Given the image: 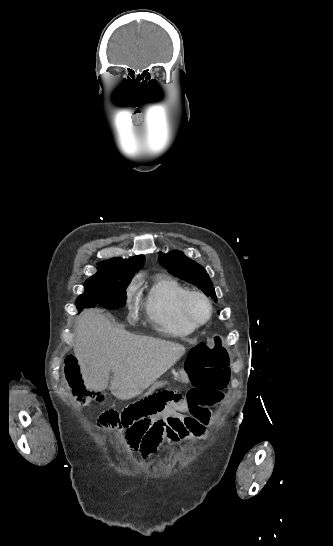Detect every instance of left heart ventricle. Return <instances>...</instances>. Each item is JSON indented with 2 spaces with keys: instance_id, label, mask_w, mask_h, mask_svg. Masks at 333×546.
Here are the masks:
<instances>
[{
  "instance_id": "1",
  "label": "left heart ventricle",
  "mask_w": 333,
  "mask_h": 546,
  "mask_svg": "<svg viewBox=\"0 0 333 546\" xmlns=\"http://www.w3.org/2000/svg\"><path fill=\"white\" fill-rule=\"evenodd\" d=\"M193 313L199 319H204L207 315V307L202 302H195L193 305Z\"/></svg>"
}]
</instances>
